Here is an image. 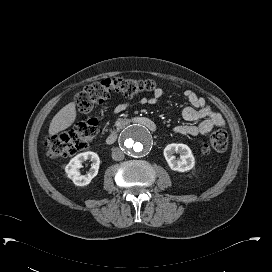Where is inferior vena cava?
I'll use <instances>...</instances> for the list:
<instances>
[{
  "label": "inferior vena cava",
  "instance_id": "1",
  "mask_svg": "<svg viewBox=\"0 0 272 272\" xmlns=\"http://www.w3.org/2000/svg\"><path fill=\"white\" fill-rule=\"evenodd\" d=\"M112 159L115 161H120L124 159V153L119 148L112 149Z\"/></svg>",
  "mask_w": 272,
  "mask_h": 272
}]
</instances>
